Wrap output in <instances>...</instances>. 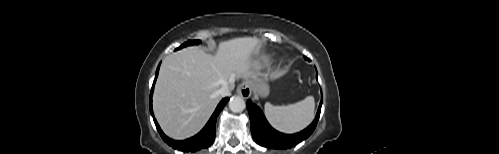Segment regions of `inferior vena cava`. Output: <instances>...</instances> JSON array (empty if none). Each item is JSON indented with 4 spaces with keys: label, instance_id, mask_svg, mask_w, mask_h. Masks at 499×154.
Wrapping results in <instances>:
<instances>
[{
    "label": "inferior vena cava",
    "instance_id": "obj_1",
    "mask_svg": "<svg viewBox=\"0 0 499 154\" xmlns=\"http://www.w3.org/2000/svg\"><path fill=\"white\" fill-rule=\"evenodd\" d=\"M217 95L220 97H227L231 95L230 89L227 85L222 86L218 91Z\"/></svg>",
    "mask_w": 499,
    "mask_h": 154
}]
</instances>
